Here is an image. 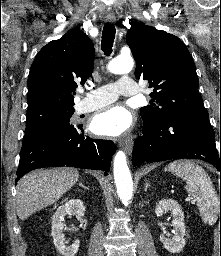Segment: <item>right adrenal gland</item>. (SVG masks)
<instances>
[{"label": "right adrenal gland", "mask_w": 221, "mask_h": 256, "mask_svg": "<svg viewBox=\"0 0 221 256\" xmlns=\"http://www.w3.org/2000/svg\"><path fill=\"white\" fill-rule=\"evenodd\" d=\"M79 186L82 187V188H84V189H87V187L84 186L82 183H79Z\"/></svg>", "instance_id": "2a0ac1e0"}]
</instances>
